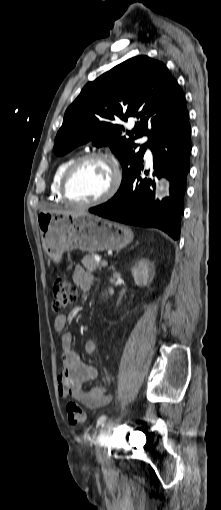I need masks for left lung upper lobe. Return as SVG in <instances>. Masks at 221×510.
<instances>
[{
  "label": "left lung upper lobe",
  "instance_id": "obj_1",
  "mask_svg": "<svg viewBox=\"0 0 221 510\" xmlns=\"http://www.w3.org/2000/svg\"><path fill=\"white\" fill-rule=\"evenodd\" d=\"M129 117L138 121L132 131H126V137L119 121ZM188 118L184 93L166 66L136 56L84 86L65 112L54 152L62 156L89 141L98 147L108 145L122 165L120 191L140 166L147 148L134 140L147 135L150 144Z\"/></svg>",
  "mask_w": 221,
  "mask_h": 510
}]
</instances>
